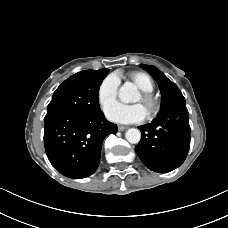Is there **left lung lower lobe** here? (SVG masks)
<instances>
[{
    "mask_svg": "<svg viewBox=\"0 0 228 228\" xmlns=\"http://www.w3.org/2000/svg\"><path fill=\"white\" fill-rule=\"evenodd\" d=\"M141 140L135 148L145 166L166 173L178 168L190 147V126L185 101L157 115L150 124L139 126Z\"/></svg>",
    "mask_w": 228,
    "mask_h": 228,
    "instance_id": "0a47b994",
    "label": "left lung lower lobe"
}]
</instances>
